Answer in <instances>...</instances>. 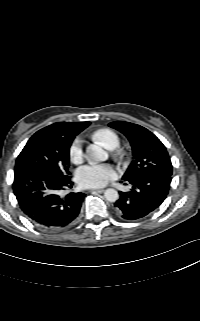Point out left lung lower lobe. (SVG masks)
Masks as SVG:
<instances>
[{"instance_id": "0a47b994", "label": "left lung lower lobe", "mask_w": 200, "mask_h": 321, "mask_svg": "<svg viewBox=\"0 0 200 321\" xmlns=\"http://www.w3.org/2000/svg\"><path fill=\"white\" fill-rule=\"evenodd\" d=\"M172 177L162 173H151L124 178L132 185L129 192H122L115 202V212L121 220H137L158 208L166 198Z\"/></svg>"}]
</instances>
